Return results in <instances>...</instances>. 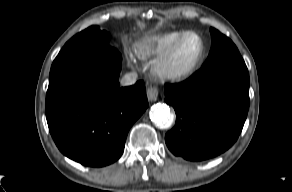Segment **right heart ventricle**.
Masks as SVG:
<instances>
[{"label": "right heart ventricle", "instance_id": "e07e8e85", "mask_svg": "<svg viewBox=\"0 0 292 192\" xmlns=\"http://www.w3.org/2000/svg\"><path fill=\"white\" fill-rule=\"evenodd\" d=\"M186 31H170L144 38L136 43V54L142 59L159 60Z\"/></svg>", "mask_w": 292, "mask_h": 192}]
</instances>
